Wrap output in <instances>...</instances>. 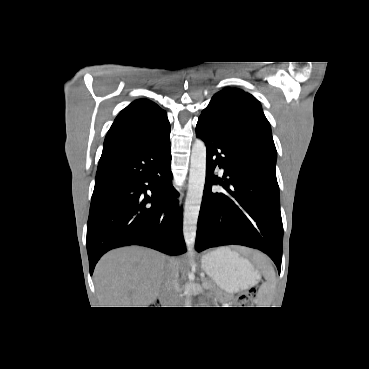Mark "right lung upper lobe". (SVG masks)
Returning a JSON list of instances; mask_svg holds the SVG:
<instances>
[{"label":"right lung upper lobe","mask_w":369,"mask_h":369,"mask_svg":"<svg viewBox=\"0 0 369 369\" xmlns=\"http://www.w3.org/2000/svg\"><path fill=\"white\" fill-rule=\"evenodd\" d=\"M170 131L165 111L150 100L132 102L116 117L109 129L101 159L127 148L153 141Z\"/></svg>","instance_id":"obj_1"}]
</instances>
